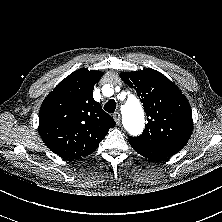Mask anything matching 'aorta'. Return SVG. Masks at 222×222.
I'll return each instance as SVG.
<instances>
[{
  "label": "aorta",
  "instance_id": "obj_1",
  "mask_svg": "<svg viewBox=\"0 0 222 222\" xmlns=\"http://www.w3.org/2000/svg\"><path fill=\"white\" fill-rule=\"evenodd\" d=\"M124 124L132 135H139L144 128V113L137 101H129L124 107Z\"/></svg>",
  "mask_w": 222,
  "mask_h": 222
}]
</instances>
